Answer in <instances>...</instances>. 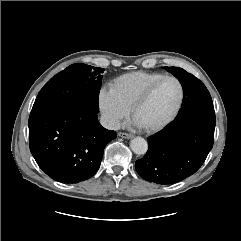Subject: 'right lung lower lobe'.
I'll return each instance as SVG.
<instances>
[{"instance_id": "98d812e1", "label": "right lung lower lobe", "mask_w": 241, "mask_h": 241, "mask_svg": "<svg viewBox=\"0 0 241 241\" xmlns=\"http://www.w3.org/2000/svg\"><path fill=\"white\" fill-rule=\"evenodd\" d=\"M30 151L52 179L78 183L99 169L107 143L117 134L98 122L97 113L77 105L31 111Z\"/></svg>"}]
</instances>
